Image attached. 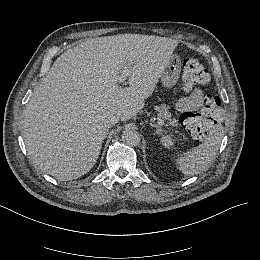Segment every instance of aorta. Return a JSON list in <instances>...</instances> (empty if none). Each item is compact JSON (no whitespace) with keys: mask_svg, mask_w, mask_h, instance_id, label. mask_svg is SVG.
Returning a JSON list of instances; mask_svg holds the SVG:
<instances>
[{"mask_svg":"<svg viewBox=\"0 0 260 260\" xmlns=\"http://www.w3.org/2000/svg\"><path fill=\"white\" fill-rule=\"evenodd\" d=\"M140 140L141 137L134 128H125L122 133V141L130 146H137L140 143Z\"/></svg>","mask_w":260,"mask_h":260,"instance_id":"1","label":"aorta"}]
</instances>
